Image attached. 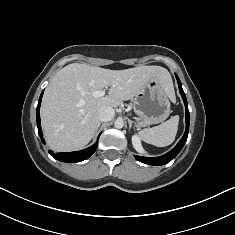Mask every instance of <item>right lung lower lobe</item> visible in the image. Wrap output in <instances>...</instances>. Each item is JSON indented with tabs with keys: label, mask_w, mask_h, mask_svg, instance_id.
Here are the masks:
<instances>
[{
	"label": "right lung lower lobe",
	"mask_w": 235,
	"mask_h": 235,
	"mask_svg": "<svg viewBox=\"0 0 235 235\" xmlns=\"http://www.w3.org/2000/svg\"><path fill=\"white\" fill-rule=\"evenodd\" d=\"M43 96V92L41 93V96L38 101V106L36 110V117H37V127H38V133L41 137V141L45 143L44 139L42 138V130H41V124H40V104H41V99ZM97 149V144L92 145L89 148H86L81 151H76V152H68V153H56L53 154V151L49 150V153L57 160L62 161V162H67V163H74V162H80L83 160H86L89 158Z\"/></svg>",
	"instance_id": "right-lung-lower-lobe-1"
}]
</instances>
